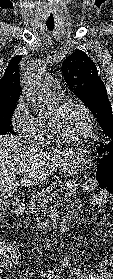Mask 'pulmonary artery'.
I'll use <instances>...</instances> for the list:
<instances>
[{
    "label": "pulmonary artery",
    "mask_w": 113,
    "mask_h": 279,
    "mask_svg": "<svg viewBox=\"0 0 113 279\" xmlns=\"http://www.w3.org/2000/svg\"><path fill=\"white\" fill-rule=\"evenodd\" d=\"M43 88L52 98H58L62 94L60 83L55 77H48L44 82Z\"/></svg>",
    "instance_id": "obj_1"
}]
</instances>
